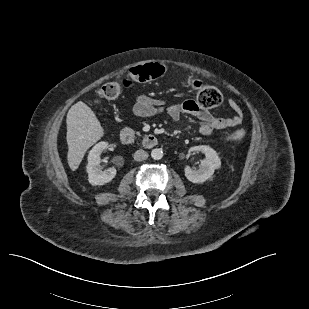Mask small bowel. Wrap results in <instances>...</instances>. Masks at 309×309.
<instances>
[{"label":"small bowel","mask_w":309,"mask_h":309,"mask_svg":"<svg viewBox=\"0 0 309 309\" xmlns=\"http://www.w3.org/2000/svg\"><path fill=\"white\" fill-rule=\"evenodd\" d=\"M229 106L234 115L228 118L216 117L198 102L188 99L178 104L168 105L163 99L140 95L136 98L132 108L134 117H153L166 114L173 120H178L182 115H191L202 122L199 131L202 135H210L214 131L232 128L242 123L243 114L240 106L233 99Z\"/></svg>","instance_id":"obj_1"}]
</instances>
